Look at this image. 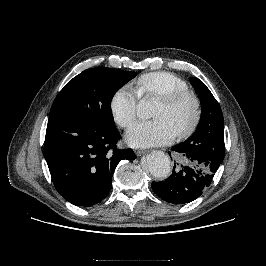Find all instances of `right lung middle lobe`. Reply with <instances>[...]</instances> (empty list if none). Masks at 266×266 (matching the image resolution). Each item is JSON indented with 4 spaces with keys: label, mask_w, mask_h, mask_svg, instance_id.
Returning a JSON list of instances; mask_svg holds the SVG:
<instances>
[{
    "label": "right lung middle lobe",
    "mask_w": 266,
    "mask_h": 266,
    "mask_svg": "<svg viewBox=\"0 0 266 266\" xmlns=\"http://www.w3.org/2000/svg\"><path fill=\"white\" fill-rule=\"evenodd\" d=\"M135 72L91 68L70 80L57 95L50 116H62L114 127L111 100Z\"/></svg>",
    "instance_id": "dd1d6c3e"
}]
</instances>
